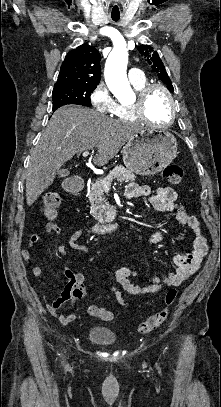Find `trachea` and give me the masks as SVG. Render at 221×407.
Instances as JSON below:
<instances>
[{"mask_svg": "<svg viewBox=\"0 0 221 407\" xmlns=\"http://www.w3.org/2000/svg\"><path fill=\"white\" fill-rule=\"evenodd\" d=\"M113 21H118L120 19V15H111Z\"/></svg>", "mask_w": 221, "mask_h": 407, "instance_id": "3493384b", "label": "trachea"}]
</instances>
